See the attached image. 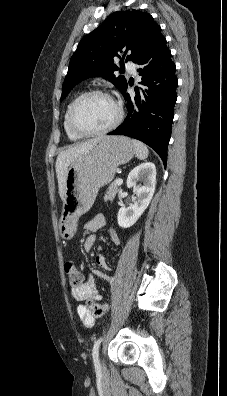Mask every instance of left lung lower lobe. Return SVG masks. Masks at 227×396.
<instances>
[{
    "mask_svg": "<svg viewBox=\"0 0 227 396\" xmlns=\"http://www.w3.org/2000/svg\"><path fill=\"white\" fill-rule=\"evenodd\" d=\"M134 62L141 66L138 73L142 76L140 84L143 87L135 88L133 98L126 92L128 85L121 91L128 114L125 121L108 135H125L144 142L157 152L166 166L178 80L164 36Z\"/></svg>",
    "mask_w": 227,
    "mask_h": 396,
    "instance_id": "obj_1",
    "label": "left lung lower lobe"
}]
</instances>
